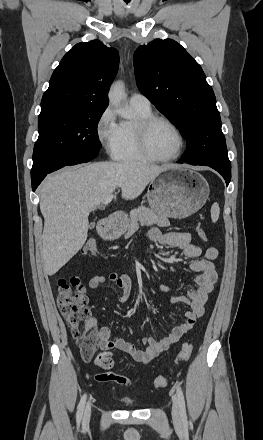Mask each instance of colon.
Wrapping results in <instances>:
<instances>
[{"label": "colon", "mask_w": 263, "mask_h": 440, "mask_svg": "<svg viewBox=\"0 0 263 440\" xmlns=\"http://www.w3.org/2000/svg\"><path fill=\"white\" fill-rule=\"evenodd\" d=\"M199 237L206 241L207 236L203 227L198 226ZM83 252L88 255H97L98 248L94 239H89ZM59 293L57 303L61 314L71 332L72 337L77 341L80 354L83 359L89 360L95 355L97 346V335L91 324V311L88 299L84 292V287L80 279L76 276L62 277L58 280ZM193 349L191 342H185L178 354L175 364L179 365L188 360ZM97 365L100 372L96 375V380L103 383H116L124 386L130 385V380L120 374L112 372L113 358L109 353H99L96 356ZM168 378L159 376L154 381V386L158 389L166 387Z\"/></svg>", "instance_id": "obj_1"}]
</instances>
